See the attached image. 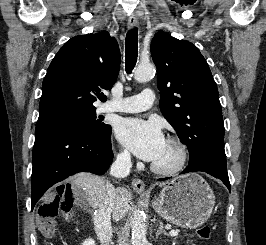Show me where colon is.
<instances>
[{
	"label": "colon",
	"mask_w": 266,
	"mask_h": 245,
	"mask_svg": "<svg viewBox=\"0 0 266 245\" xmlns=\"http://www.w3.org/2000/svg\"><path fill=\"white\" fill-rule=\"evenodd\" d=\"M61 205V200L55 198L52 201H49L41 205L37 209V227L42 235L46 239H52L55 232V219L59 212V207ZM212 232V228L209 225H204L197 230V236L200 239L207 240L209 239ZM46 245H50L49 242H46Z\"/></svg>",
	"instance_id": "colon-1"
}]
</instances>
